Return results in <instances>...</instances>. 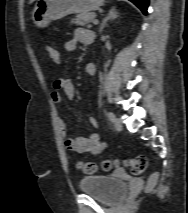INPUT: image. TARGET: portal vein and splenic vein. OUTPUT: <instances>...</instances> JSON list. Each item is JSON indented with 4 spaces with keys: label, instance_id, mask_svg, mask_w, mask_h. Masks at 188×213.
<instances>
[{
    "label": "portal vein and splenic vein",
    "instance_id": "obj_1",
    "mask_svg": "<svg viewBox=\"0 0 188 213\" xmlns=\"http://www.w3.org/2000/svg\"><path fill=\"white\" fill-rule=\"evenodd\" d=\"M93 24H95V25L98 24V20H97V19H94V20H93Z\"/></svg>",
    "mask_w": 188,
    "mask_h": 213
}]
</instances>
